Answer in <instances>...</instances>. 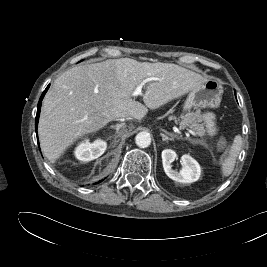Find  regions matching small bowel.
Here are the masks:
<instances>
[{"label": "small bowel", "instance_id": "small-bowel-1", "mask_svg": "<svg viewBox=\"0 0 267 267\" xmlns=\"http://www.w3.org/2000/svg\"><path fill=\"white\" fill-rule=\"evenodd\" d=\"M204 125L210 135L214 133V118L211 114H205L203 116Z\"/></svg>", "mask_w": 267, "mask_h": 267}]
</instances>
